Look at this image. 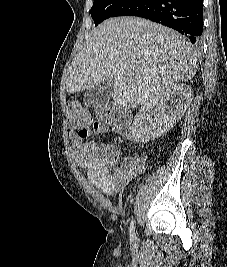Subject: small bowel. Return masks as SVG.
I'll return each mask as SVG.
<instances>
[{"mask_svg":"<svg viewBox=\"0 0 227 267\" xmlns=\"http://www.w3.org/2000/svg\"><path fill=\"white\" fill-rule=\"evenodd\" d=\"M112 131L120 133L119 126H112ZM109 130L100 122L87 124L78 129L77 133L71 137L72 155L78 166L86 170V175L90 183L97 186L104 193H110L112 187L123 184L133 178L142 169L138 160H130L117 168L113 173L109 172L110 158L109 152H100L98 144L89 140L92 134L102 135Z\"/></svg>","mask_w":227,"mask_h":267,"instance_id":"small-bowel-1","label":"small bowel"}]
</instances>
